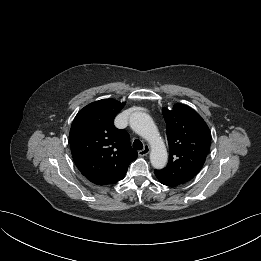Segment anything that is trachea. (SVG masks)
Returning a JSON list of instances; mask_svg holds the SVG:
<instances>
[{
  "mask_svg": "<svg viewBox=\"0 0 261 261\" xmlns=\"http://www.w3.org/2000/svg\"><path fill=\"white\" fill-rule=\"evenodd\" d=\"M133 149L135 150H142L143 149V144L140 140H135L133 142Z\"/></svg>",
  "mask_w": 261,
  "mask_h": 261,
  "instance_id": "trachea-1",
  "label": "trachea"
}]
</instances>
